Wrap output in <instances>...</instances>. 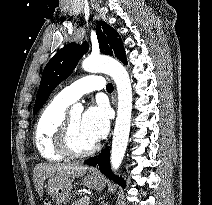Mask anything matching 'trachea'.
<instances>
[{"instance_id": "1", "label": "trachea", "mask_w": 212, "mask_h": 205, "mask_svg": "<svg viewBox=\"0 0 212 205\" xmlns=\"http://www.w3.org/2000/svg\"><path fill=\"white\" fill-rule=\"evenodd\" d=\"M113 89H114L113 85H112L111 83H108L107 86H106V90H107L108 92H112Z\"/></svg>"}]
</instances>
